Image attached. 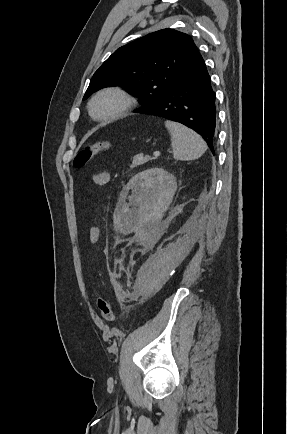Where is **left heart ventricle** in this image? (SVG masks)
<instances>
[{
	"label": "left heart ventricle",
	"instance_id": "obj_1",
	"mask_svg": "<svg viewBox=\"0 0 287 434\" xmlns=\"http://www.w3.org/2000/svg\"><path fill=\"white\" fill-rule=\"evenodd\" d=\"M112 105H113V103L111 101L101 102L97 105L96 111L97 112L104 111V110L108 109L109 107H111Z\"/></svg>",
	"mask_w": 287,
	"mask_h": 434
}]
</instances>
